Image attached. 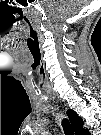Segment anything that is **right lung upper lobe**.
Listing matches in <instances>:
<instances>
[{
	"mask_svg": "<svg viewBox=\"0 0 101 135\" xmlns=\"http://www.w3.org/2000/svg\"><path fill=\"white\" fill-rule=\"evenodd\" d=\"M67 116L69 117L72 127L74 128L76 134L78 135H88V130L83 128V120L78 114L73 110L67 111Z\"/></svg>",
	"mask_w": 101,
	"mask_h": 135,
	"instance_id": "1",
	"label": "right lung upper lobe"
}]
</instances>
